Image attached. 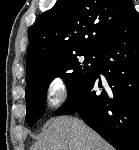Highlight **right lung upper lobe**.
<instances>
[{"mask_svg":"<svg viewBox=\"0 0 139 150\" xmlns=\"http://www.w3.org/2000/svg\"><path fill=\"white\" fill-rule=\"evenodd\" d=\"M134 10L131 0H58L29 29L26 77L55 58L99 51Z\"/></svg>","mask_w":139,"mask_h":150,"instance_id":"1","label":"right lung upper lobe"}]
</instances>
